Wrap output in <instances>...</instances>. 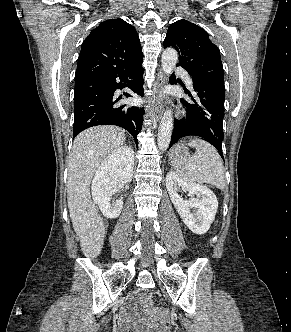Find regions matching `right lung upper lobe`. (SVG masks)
<instances>
[{"label":"right lung upper lobe","instance_id":"obj_1","mask_svg":"<svg viewBox=\"0 0 291 332\" xmlns=\"http://www.w3.org/2000/svg\"><path fill=\"white\" fill-rule=\"evenodd\" d=\"M143 61L135 28L122 19L99 24L84 40L75 81L102 73H117Z\"/></svg>","mask_w":291,"mask_h":332}]
</instances>
